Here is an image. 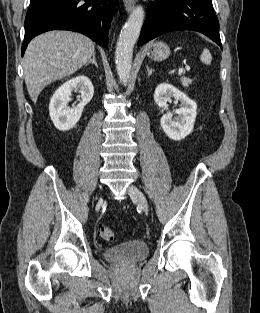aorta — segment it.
<instances>
[{"label":"aorta","instance_id":"762f6f07","mask_svg":"<svg viewBox=\"0 0 260 313\" xmlns=\"http://www.w3.org/2000/svg\"><path fill=\"white\" fill-rule=\"evenodd\" d=\"M144 9L136 6L123 26L115 51V63L118 77L121 83H127L132 67L134 45L140 35L144 21Z\"/></svg>","mask_w":260,"mask_h":313}]
</instances>
